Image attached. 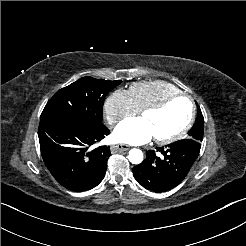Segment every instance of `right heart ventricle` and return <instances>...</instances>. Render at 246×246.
Wrapping results in <instances>:
<instances>
[{
    "instance_id": "1",
    "label": "right heart ventricle",
    "mask_w": 246,
    "mask_h": 246,
    "mask_svg": "<svg viewBox=\"0 0 246 246\" xmlns=\"http://www.w3.org/2000/svg\"><path fill=\"white\" fill-rule=\"evenodd\" d=\"M179 92L174 85L163 81L139 82L129 87V94L137 112Z\"/></svg>"
}]
</instances>
